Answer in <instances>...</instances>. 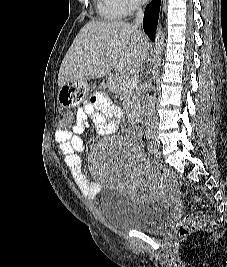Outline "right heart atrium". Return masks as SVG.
I'll return each instance as SVG.
<instances>
[{
    "instance_id": "right-heart-atrium-1",
    "label": "right heart atrium",
    "mask_w": 227,
    "mask_h": 267,
    "mask_svg": "<svg viewBox=\"0 0 227 267\" xmlns=\"http://www.w3.org/2000/svg\"><path fill=\"white\" fill-rule=\"evenodd\" d=\"M124 15H130L139 8L140 0H117Z\"/></svg>"
}]
</instances>
